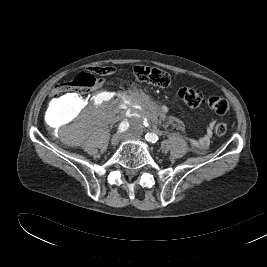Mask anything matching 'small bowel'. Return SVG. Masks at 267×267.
I'll list each match as a JSON object with an SVG mask.
<instances>
[{
    "instance_id": "obj_1",
    "label": "small bowel",
    "mask_w": 267,
    "mask_h": 267,
    "mask_svg": "<svg viewBox=\"0 0 267 267\" xmlns=\"http://www.w3.org/2000/svg\"><path fill=\"white\" fill-rule=\"evenodd\" d=\"M213 122H209V124L206 127V134L199 138L193 140V145L198 148L199 150H204L209 146L210 138L212 136V131H213Z\"/></svg>"
}]
</instances>
